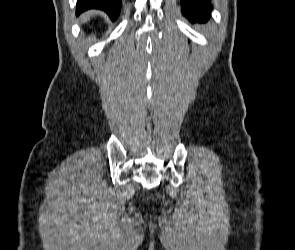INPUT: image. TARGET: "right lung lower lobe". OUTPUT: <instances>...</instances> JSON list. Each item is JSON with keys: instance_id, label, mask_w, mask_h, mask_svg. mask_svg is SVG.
<instances>
[{"instance_id": "98d812e1", "label": "right lung lower lobe", "mask_w": 295, "mask_h": 250, "mask_svg": "<svg viewBox=\"0 0 295 250\" xmlns=\"http://www.w3.org/2000/svg\"><path fill=\"white\" fill-rule=\"evenodd\" d=\"M92 8L105 11L112 20H115L120 12L121 0H77L76 14L79 15Z\"/></svg>"}]
</instances>
